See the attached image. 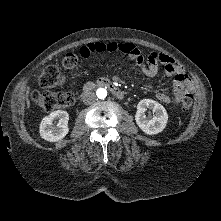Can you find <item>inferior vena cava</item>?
<instances>
[{"label":"inferior vena cava","mask_w":221,"mask_h":221,"mask_svg":"<svg viewBox=\"0 0 221 221\" xmlns=\"http://www.w3.org/2000/svg\"><path fill=\"white\" fill-rule=\"evenodd\" d=\"M82 99H83L84 104L88 105V104L95 102L96 95L94 92H86L83 94Z\"/></svg>","instance_id":"inferior-vena-cava-1"}]
</instances>
